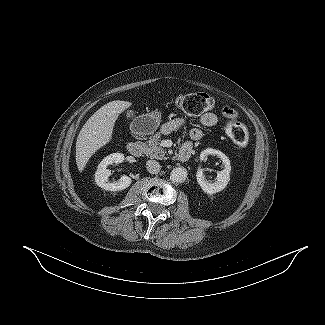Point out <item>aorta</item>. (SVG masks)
I'll list each match as a JSON object with an SVG mask.
<instances>
[{
    "mask_svg": "<svg viewBox=\"0 0 325 325\" xmlns=\"http://www.w3.org/2000/svg\"><path fill=\"white\" fill-rule=\"evenodd\" d=\"M187 178V170L183 167H176L170 173V180L174 183H183Z\"/></svg>",
    "mask_w": 325,
    "mask_h": 325,
    "instance_id": "obj_1",
    "label": "aorta"
}]
</instances>
